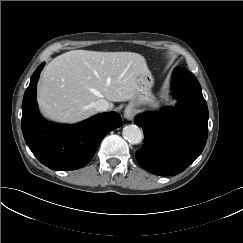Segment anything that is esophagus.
I'll use <instances>...</instances> for the list:
<instances>
[{"instance_id": "1", "label": "esophagus", "mask_w": 243, "mask_h": 243, "mask_svg": "<svg viewBox=\"0 0 243 243\" xmlns=\"http://www.w3.org/2000/svg\"><path fill=\"white\" fill-rule=\"evenodd\" d=\"M134 115H135V109L133 106H127L124 110V117L127 119V120H132L134 118Z\"/></svg>"}]
</instances>
